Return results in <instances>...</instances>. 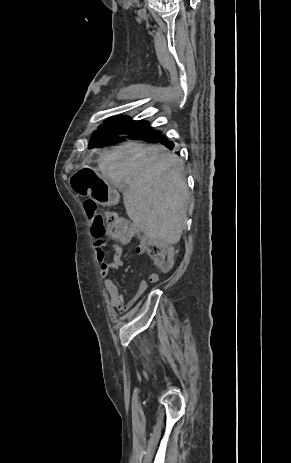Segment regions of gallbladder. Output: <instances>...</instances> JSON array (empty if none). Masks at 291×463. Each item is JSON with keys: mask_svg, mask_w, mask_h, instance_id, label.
Here are the masks:
<instances>
[{"mask_svg": "<svg viewBox=\"0 0 291 463\" xmlns=\"http://www.w3.org/2000/svg\"><path fill=\"white\" fill-rule=\"evenodd\" d=\"M119 190L122 192H125L127 190V185L126 184H120L118 186Z\"/></svg>", "mask_w": 291, "mask_h": 463, "instance_id": "obj_1", "label": "gallbladder"}]
</instances>
